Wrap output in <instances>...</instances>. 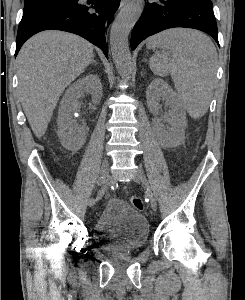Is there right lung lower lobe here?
<instances>
[{"label": "right lung lower lobe", "instance_id": "98d812e1", "mask_svg": "<svg viewBox=\"0 0 245 300\" xmlns=\"http://www.w3.org/2000/svg\"><path fill=\"white\" fill-rule=\"evenodd\" d=\"M120 0H71L23 14L19 24L16 52L32 35L48 29L62 30L82 36L100 47L108 58L105 29L110 24Z\"/></svg>", "mask_w": 245, "mask_h": 300}]
</instances>
